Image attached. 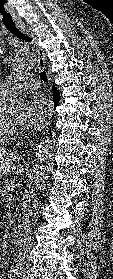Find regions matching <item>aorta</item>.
<instances>
[{
    "mask_svg": "<svg viewBox=\"0 0 113 279\" xmlns=\"http://www.w3.org/2000/svg\"><path fill=\"white\" fill-rule=\"evenodd\" d=\"M33 57L30 53L19 54L14 60V68L24 70L33 65ZM53 146L47 139L39 144L36 154V163L34 168L35 189L43 190L45 183L53 170Z\"/></svg>",
    "mask_w": 113,
    "mask_h": 279,
    "instance_id": "762f6f07",
    "label": "aorta"
}]
</instances>
